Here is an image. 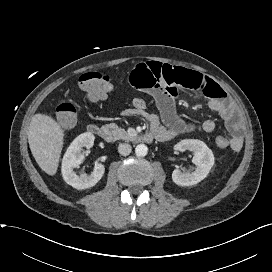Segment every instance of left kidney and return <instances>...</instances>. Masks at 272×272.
Returning a JSON list of instances; mask_svg holds the SVG:
<instances>
[{"mask_svg":"<svg viewBox=\"0 0 272 272\" xmlns=\"http://www.w3.org/2000/svg\"><path fill=\"white\" fill-rule=\"evenodd\" d=\"M175 150L185 152L192 151L194 154L193 163L196 165L193 172H182L175 169L172 173V180L180 186H191L199 183L207 177L214 165V155L211 149L200 140L184 139L175 145Z\"/></svg>","mask_w":272,"mask_h":272,"instance_id":"1","label":"left kidney"}]
</instances>
